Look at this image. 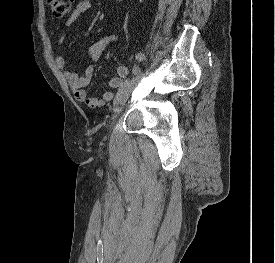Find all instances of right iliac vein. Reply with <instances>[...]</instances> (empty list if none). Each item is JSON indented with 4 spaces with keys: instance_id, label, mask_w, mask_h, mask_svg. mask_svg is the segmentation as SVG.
<instances>
[{
    "instance_id": "right-iliac-vein-1",
    "label": "right iliac vein",
    "mask_w": 275,
    "mask_h": 263,
    "mask_svg": "<svg viewBox=\"0 0 275 263\" xmlns=\"http://www.w3.org/2000/svg\"><path fill=\"white\" fill-rule=\"evenodd\" d=\"M142 75H138L133 78L125 87L124 89L117 95L114 100L113 104V112L118 113L121 109V106L124 105L126 100L128 99L130 93L132 92L133 88L137 85V83L141 80Z\"/></svg>"
}]
</instances>
